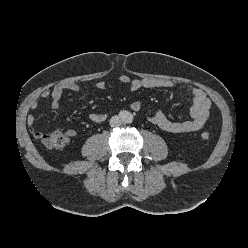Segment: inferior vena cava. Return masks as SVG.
Returning <instances> with one entry per match:
<instances>
[{
    "mask_svg": "<svg viewBox=\"0 0 248 248\" xmlns=\"http://www.w3.org/2000/svg\"><path fill=\"white\" fill-rule=\"evenodd\" d=\"M122 124V120L118 116H113L110 119V126L111 127H118Z\"/></svg>",
    "mask_w": 248,
    "mask_h": 248,
    "instance_id": "1",
    "label": "inferior vena cava"
}]
</instances>
